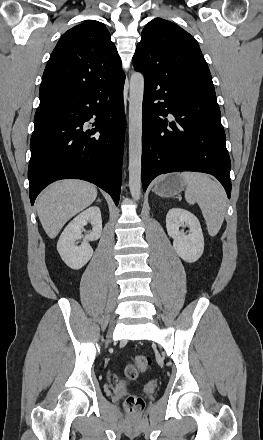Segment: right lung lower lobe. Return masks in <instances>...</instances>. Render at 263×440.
<instances>
[{"label": "right lung lower lobe", "instance_id": "obj_1", "mask_svg": "<svg viewBox=\"0 0 263 440\" xmlns=\"http://www.w3.org/2000/svg\"><path fill=\"white\" fill-rule=\"evenodd\" d=\"M124 80L67 97L35 122L28 168L31 204L50 183L89 181L119 203L125 133ZM95 122L91 127L86 122Z\"/></svg>", "mask_w": 263, "mask_h": 440}]
</instances>
